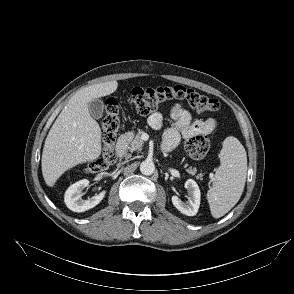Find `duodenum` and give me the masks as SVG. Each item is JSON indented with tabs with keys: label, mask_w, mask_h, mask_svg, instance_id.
I'll return each mask as SVG.
<instances>
[{
	"label": "duodenum",
	"mask_w": 294,
	"mask_h": 294,
	"mask_svg": "<svg viewBox=\"0 0 294 294\" xmlns=\"http://www.w3.org/2000/svg\"><path fill=\"white\" fill-rule=\"evenodd\" d=\"M127 147H128V136L127 134H122L116 143V154L120 158H125L127 155Z\"/></svg>",
	"instance_id": "1"
}]
</instances>
